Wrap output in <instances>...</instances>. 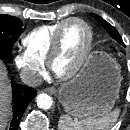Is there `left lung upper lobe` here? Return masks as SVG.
<instances>
[{"label": "left lung upper lobe", "mask_w": 130, "mask_h": 130, "mask_svg": "<svg viewBox=\"0 0 130 130\" xmlns=\"http://www.w3.org/2000/svg\"><path fill=\"white\" fill-rule=\"evenodd\" d=\"M92 16L101 23V25L107 30L108 34L114 38L119 44L124 45L122 38L120 37L117 30L108 22H106L103 18L96 14H92Z\"/></svg>", "instance_id": "1"}]
</instances>
